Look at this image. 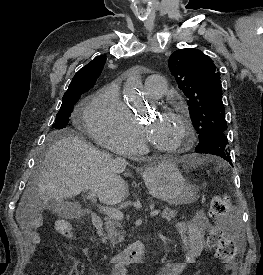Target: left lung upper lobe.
<instances>
[{"label": "left lung upper lobe", "mask_w": 263, "mask_h": 275, "mask_svg": "<svg viewBox=\"0 0 263 275\" xmlns=\"http://www.w3.org/2000/svg\"><path fill=\"white\" fill-rule=\"evenodd\" d=\"M169 69L188 98L187 104L199 142L225 132L227 123L220 74L213 61L198 49L185 48L170 56Z\"/></svg>", "instance_id": "left-lung-upper-lobe-1"}]
</instances>
